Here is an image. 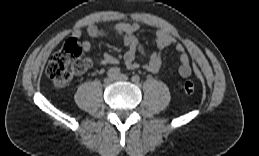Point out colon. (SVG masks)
I'll return each mask as SVG.
<instances>
[{
    "mask_svg": "<svg viewBox=\"0 0 259 156\" xmlns=\"http://www.w3.org/2000/svg\"><path fill=\"white\" fill-rule=\"evenodd\" d=\"M89 65L90 61L82 56L81 45L76 40H69L51 57L46 73L53 85L62 90L69 86L74 76L83 73ZM183 90L187 95L193 94L194 83L186 81Z\"/></svg>",
    "mask_w": 259,
    "mask_h": 156,
    "instance_id": "colon-1",
    "label": "colon"
}]
</instances>
